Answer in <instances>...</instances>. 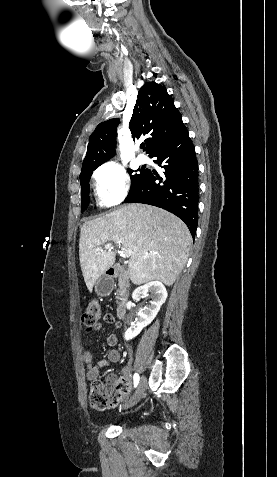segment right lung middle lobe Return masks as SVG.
Here are the masks:
<instances>
[{
  "label": "right lung middle lobe",
  "instance_id": "obj_1",
  "mask_svg": "<svg viewBox=\"0 0 277 477\" xmlns=\"http://www.w3.org/2000/svg\"><path fill=\"white\" fill-rule=\"evenodd\" d=\"M97 167H90L87 169H84L81 171L80 174V183H81V197H82V204H81V211H85L88 204H89V180L92 175L93 170H95ZM139 174H134L131 176V188L130 191H132L145 177L146 170H139ZM129 174H131L133 171L128 169ZM129 191V192H130Z\"/></svg>",
  "mask_w": 277,
  "mask_h": 477
}]
</instances>
